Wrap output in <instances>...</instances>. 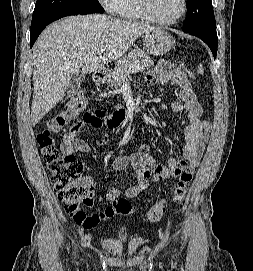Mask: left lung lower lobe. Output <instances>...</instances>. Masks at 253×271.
<instances>
[{"mask_svg":"<svg viewBox=\"0 0 253 271\" xmlns=\"http://www.w3.org/2000/svg\"><path fill=\"white\" fill-rule=\"evenodd\" d=\"M183 31L202 39L210 47L214 59L216 58L218 43L216 28H197L193 30L183 29Z\"/></svg>","mask_w":253,"mask_h":271,"instance_id":"obj_1","label":"left lung lower lobe"}]
</instances>
